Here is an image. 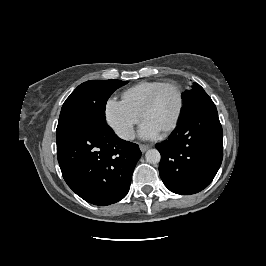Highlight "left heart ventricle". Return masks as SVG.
<instances>
[{"label":"left heart ventricle","instance_id":"obj_1","mask_svg":"<svg viewBox=\"0 0 266 266\" xmlns=\"http://www.w3.org/2000/svg\"><path fill=\"white\" fill-rule=\"evenodd\" d=\"M177 108V93L172 87H167L161 91L153 106L147 111L144 120L162 131L174 119Z\"/></svg>","mask_w":266,"mask_h":266}]
</instances>
